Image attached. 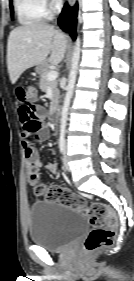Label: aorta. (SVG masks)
Listing matches in <instances>:
<instances>
[{
	"instance_id": "1",
	"label": "aorta",
	"mask_w": 134,
	"mask_h": 281,
	"mask_svg": "<svg viewBox=\"0 0 134 281\" xmlns=\"http://www.w3.org/2000/svg\"><path fill=\"white\" fill-rule=\"evenodd\" d=\"M80 52H81V42L80 38L77 37L75 41V46L72 54V61H71V70L68 77V85L66 88V95L64 98L62 111H61V119H60V134L63 136L65 134V129L67 125V116L69 112V106L71 102V98L73 95V90L75 86L76 76H77V70L79 65V59H80Z\"/></svg>"
}]
</instances>
